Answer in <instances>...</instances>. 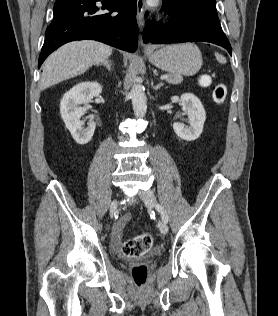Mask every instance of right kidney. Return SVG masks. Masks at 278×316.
<instances>
[{"instance_id": "1", "label": "right kidney", "mask_w": 278, "mask_h": 316, "mask_svg": "<svg viewBox=\"0 0 278 316\" xmlns=\"http://www.w3.org/2000/svg\"><path fill=\"white\" fill-rule=\"evenodd\" d=\"M101 92L102 85L98 82H82L66 92L61 99V117L74 140L80 145H85L91 140L96 127L92 117H90L88 127H83L84 121L80 119L84 115L86 108L81 107V105L87 104Z\"/></svg>"}]
</instances>
